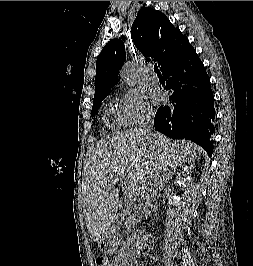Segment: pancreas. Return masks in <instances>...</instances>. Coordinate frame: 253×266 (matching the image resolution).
Masks as SVG:
<instances>
[{"mask_svg":"<svg viewBox=\"0 0 253 266\" xmlns=\"http://www.w3.org/2000/svg\"><path fill=\"white\" fill-rule=\"evenodd\" d=\"M137 201V198H132L128 203V209H127V227L134 228L136 227L137 223L140 221L141 218V210L138 208V205L135 204ZM133 205V206H132Z\"/></svg>","mask_w":253,"mask_h":266,"instance_id":"cf45deb5","label":"pancreas"}]
</instances>
